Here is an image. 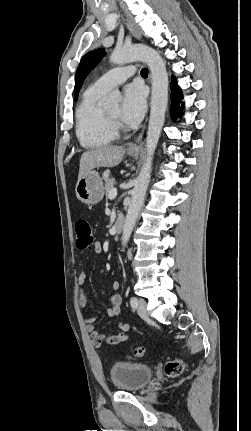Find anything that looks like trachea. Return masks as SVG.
I'll use <instances>...</instances> for the list:
<instances>
[{"instance_id":"obj_1","label":"trachea","mask_w":251,"mask_h":431,"mask_svg":"<svg viewBox=\"0 0 251 431\" xmlns=\"http://www.w3.org/2000/svg\"><path fill=\"white\" fill-rule=\"evenodd\" d=\"M141 75H142V76H147V75H148V69H147V68H143V69L141 70Z\"/></svg>"}]
</instances>
